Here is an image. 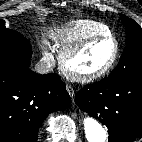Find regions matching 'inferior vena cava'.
Returning <instances> with one entry per match:
<instances>
[{
	"mask_svg": "<svg viewBox=\"0 0 142 142\" xmlns=\"http://www.w3.org/2000/svg\"><path fill=\"white\" fill-rule=\"evenodd\" d=\"M55 66V60L53 58H45L40 60L35 65V71L39 74H46L51 72Z\"/></svg>",
	"mask_w": 142,
	"mask_h": 142,
	"instance_id": "inferior-vena-cava-1",
	"label": "inferior vena cava"
}]
</instances>
